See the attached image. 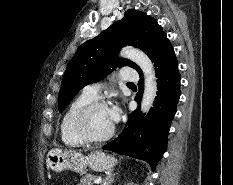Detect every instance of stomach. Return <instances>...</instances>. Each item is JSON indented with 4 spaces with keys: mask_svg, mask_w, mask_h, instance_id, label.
Instances as JSON below:
<instances>
[{
    "mask_svg": "<svg viewBox=\"0 0 233 185\" xmlns=\"http://www.w3.org/2000/svg\"><path fill=\"white\" fill-rule=\"evenodd\" d=\"M117 160L102 151H92L87 156L73 150L52 149L47 154V167L53 171L61 172L71 170L84 173L89 167L95 171L111 170Z\"/></svg>",
    "mask_w": 233,
    "mask_h": 185,
    "instance_id": "obj_1",
    "label": "stomach"
}]
</instances>
